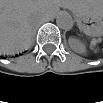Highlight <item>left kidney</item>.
I'll list each match as a JSON object with an SVG mask.
<instances>
[{
  "label": "left kidney",
  "instance_id": "1",
  "mask_svg": "<svg viewBox=\"0 0 103 103\" xmlns=\"http://www.w3.org/2000/svg\"><path fill=\"white\" fill-rule=\"evenodd\" d=\"M69 45L74 51L79 52V53L84 52L85 50L84 44L76 38H70Z\"/></svg>",
  "mask_w": 103,
  "mask_h": 103
}]
</instances>
